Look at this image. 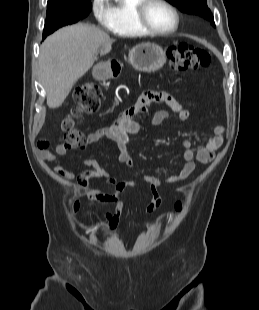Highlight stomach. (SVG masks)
<instances>
[{"label":"stomach","instance_id":"1","mask_svg":"<svg viewBox=\"0 0 259 310\" xmlns=\"http://www.w3.org/2000/svg\"><path fill=\"white\" fill-rule=\"evenodd\" d=\"M167 59L165 51L153 43H141L134 46L129 52V63L139 71L155 72L163 67ZM102 66H97L95 71ZM109 76L108 69H104L98 78L104 79Z\"/></svg>","mask_w":259,"mask_h":310}]
</instances>
